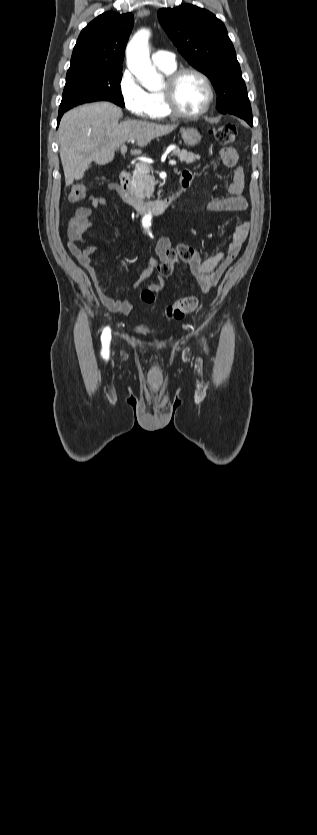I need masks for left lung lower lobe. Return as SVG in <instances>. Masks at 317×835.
Wrapping results in <instances>:
<instances>
[{"mask_svg":"<svg viewBox=\"0 0 317 835\" xmlns=\"http://www.w3.org/2000/svg\"><path fill=\"white\" fill-rule=\"evenodd\" d=\"M232 115H235V114H232ZM235 116H238V117L244 119L249 125L252 126V118L251 117H243V116H240V115H235Z\"/></svg>","mask_w":317,"mask_h":835,"instance_id":"0a47b994","label":"left lung lower lobe"}]
</instances>
